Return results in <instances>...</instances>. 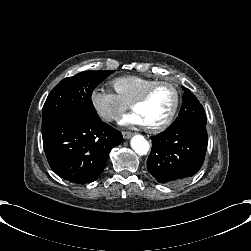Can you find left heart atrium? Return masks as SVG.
<instances>
[{"instance_id": "left-heart-atrium-1", "label": "left heart atrium", "mask_w": 251, "mask_h": 251, "mask_svg": "<svg viewBox=\"0 0 251 251\" xmlns=\"http://www.w3.org/2000/svg\"><path fill=\"white\" fill-rule=\"evenodd\" d=\"M119 124L122 126H133V125L144 126V125H146L142 114L137 110H134L131 113L123 115L119 119Z\"/></svg>"}]
</instances>
